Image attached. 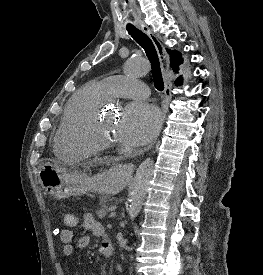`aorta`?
I'll list each match as a JSON object with an SVG mask.
<instances>
[{"label": "aorta", "mask_w": 263, "mask_h": 275, "mask_svg": "<svg viewBox=\"0 0 263 275\" xmlns=\"http://www.w3.org/2000/svg\"><path fill=\"white\" fill-rule=\"evenodd\" d=\"M124 69L127 75L137 77L146 74L149 71V65L144 59L134 57L126 61ZM153 170L154 161L151 158H147L139 165L136 171L129 200V215L131 219L136 218L140 213Z\"/></svg>", "instance_id": "obj_1"}]
</instances>
